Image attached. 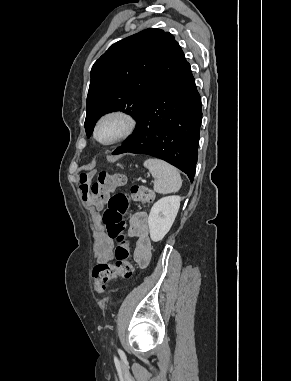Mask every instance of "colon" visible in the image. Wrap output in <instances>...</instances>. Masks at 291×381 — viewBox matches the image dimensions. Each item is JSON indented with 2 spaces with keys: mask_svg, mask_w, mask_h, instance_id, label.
Wrapping results in <instances>:
<instances>
[{
  "mask_svg": "<svg viewBox=\"0 0 291 381\" xmlns=\"http://www.w3.org/2000/svg\"><path fill=\"white\" fill-rule=\"evenodd\" d=\"M124 184L123 177L109 175L106 172H101L98 180L91 185L81 184L84 201L93 205L107 202V208L101 215V222L106 234L117 242L114 250L115 262L113 264L99 263L92 270L95 290L99 293L106 290L110 280L116 277L130 278L133 275L134 266L130 261L131 250L124 234L126 228L124 216L131 201L146 204L152 199V191L144 185H133L129 194L116 192Z\"/></svg>",
  "mask_w": 291,
  "mask_h": 381,
  "instance_id": "5ec220e1",
  "label": "colon"
}]
</instances>
